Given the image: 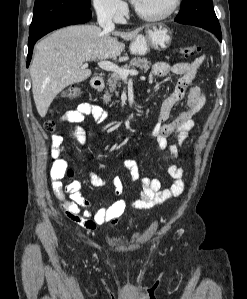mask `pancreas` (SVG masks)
Listing matches in <instances>:
<instances>
[{"instance_id":"1","label":"pancreas","mask_w":247,"mask_h":299,"mask_svg":"<svg viewBox=\"0 0 247 299\" xmlns=\"http://www.w3.org/2000/svg\"><path fill=\"white\" fill-rule=\"evenodd\" d=\"M151 66V62L147 58H133L129 64H125L122 68L125 70H131L135 67L147 72ZM121 77L117 73H112L107 80L108 90H106L103 96V101L108 103L111 100L112 95L115 93L118 95L117 89L121 87Z\"/></svg>"}]
</instances>
